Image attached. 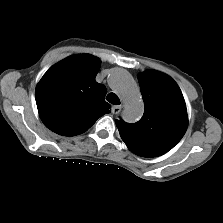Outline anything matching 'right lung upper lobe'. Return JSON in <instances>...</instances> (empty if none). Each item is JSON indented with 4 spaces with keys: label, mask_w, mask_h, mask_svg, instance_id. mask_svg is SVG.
Here are the masks:
<instances>
[{
    "label": "right lung upper lobe",
    "mask_w": 223,
    "mask_h": 223,
    "mask_svg": "<svg viewBox=\"0 0 223 223\" xmlns=\"http://www.w3.org/2000/svg\"><path fill=\"white\" fill-rule=\"evenodd\" d=\"M101 61L89 54L69 56L52 66L37 85L41 120L53 132L74 136L109 113L106 87L95 81Z\"/></svg>",
    "instance_id": "cb5924a9"
}]
</instances>
